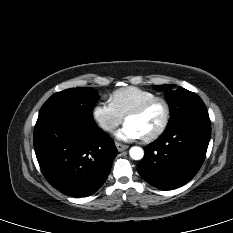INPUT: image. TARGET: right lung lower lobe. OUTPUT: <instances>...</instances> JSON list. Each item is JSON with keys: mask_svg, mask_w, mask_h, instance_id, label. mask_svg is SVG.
Returning <instances> with one entry per match:
<instances>
[{"mask_svg": "<svg viewBox=\"0 0 233 233\" xmlns=\"http://www.w3.org/2000/svg\"><path fill=\"white\" fill-rule=\"evenodd\" d=\"M33 142L46 180L77 198L103 185L117 155L114 141L94 121L70 114L38 118Z\"/></svg>", "mask_w": 233, "mask_h": 233, "instance_id": "right-lung-lower-lobe-1", "label": "right lung lower lobe"}]
</instances>
